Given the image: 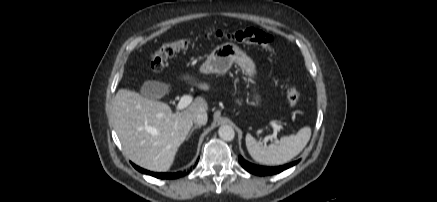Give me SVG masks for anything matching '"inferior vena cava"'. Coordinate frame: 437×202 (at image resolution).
Wrapping results in <instances>:
<instances>
[{
  "label": "inferior vena cava",
  "mask_w": 437,
  "mask_h": 202,
  "mask_svg": "<svg viewBox=\"0 0 437 202\" xmlns=\"http://www.w3.org/2000/svg\"><path fill=\"white\" fill-rule=\"evenodd\" d=\"M208 116L206 111H199L193 116V122L197 125H205L207 123Z\"/></svg>",
  "instance_id": "inferior-vena-cava-1"
}]
</instances>
